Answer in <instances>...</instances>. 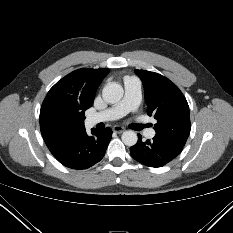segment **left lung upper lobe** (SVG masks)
I'll list each match as a JSON object with an SVG mask.
<instances>
[{"label": "left lung upper lobe", "instance_id": "5c2ea615", "mask_svg": "<svg viewBox=\"0 0 233 233\" xmlns=\"http://www.w3.org/2000/svg\"><path fill=\"white\" fill-rule=\"evenodd\" d=\"M135 73L143 82L147 114L157 120L155 137L184 147L191 129L186 98L174 83L158 73Z\"/></svg>", "mask_w": 233, "mask_h": 233}]
</instances>
